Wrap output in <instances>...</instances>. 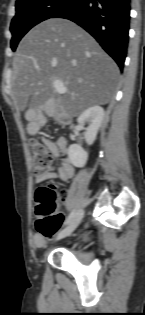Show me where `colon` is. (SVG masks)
Returning <instances> with one entry per match:
<instances>
[{
	"label": "colon",
	"mask_w": 145,
	"mask_h": 315,
	"mask_svg": "<svg viewBox=\"0 0 145 315\" xmlns=\"http://www.w3.org/2000/svg\"><path fill=\"white\" fill-rule=\"evenodd\" d=\"M33 166L36 174L50 169L52 154L45 144L37 139L31 140ZM56 191L52 185L42 186L35 192L36 201V230L45 238H51L64 222V215L58 211Z\"/></svg>",
	"instance_id": "obj_1"
}]
</instances>
